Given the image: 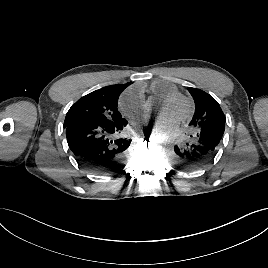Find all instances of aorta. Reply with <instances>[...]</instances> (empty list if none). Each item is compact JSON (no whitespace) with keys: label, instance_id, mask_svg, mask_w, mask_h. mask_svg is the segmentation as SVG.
I'll return each instance as SVG.
<instances>
[{"label":"aorta","instance_id":"762f6f07","mask_svg":"<svg viewBox=\"0 0 268 268\" xmlns=\"http://www.w3.org/2000/svg\"><path fill=\"white\" fill-rule=\"evenodd\" d=\"M166 138H167V135H166V133H165L164 131H162V130L156 131V132L154 133V140H155L156 142L162 143V142H164V141L166 140Z\"/></svg>","mask_w":268,"mask_h":268}]
</instances>
